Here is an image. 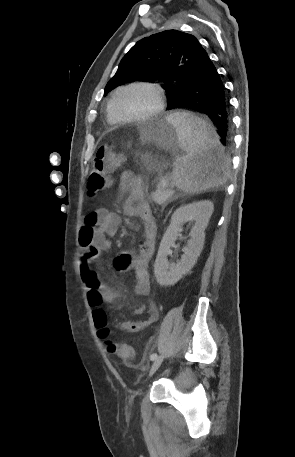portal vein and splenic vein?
Returning <instances> with one entry per match:
<instances>
[{"label":"portal vein and splenic vein","instance_id":"1","mask_svg":"<svg viewBox=\"0 0 295 457\" xmlns=\"http://www.w3.org/2000/svg\"><path fill=\"white\" fill-rule=\"evenodd\" d=\"M160 184H161L162 186H166V185H167V180H166L165 178H162V179L160 180Z\"/></svg>","mask_w":295,"mask_h":457}]
</instances>
